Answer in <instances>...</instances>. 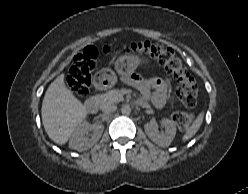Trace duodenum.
I'll return each instance as SVG.
<instances>
[{
    "instance_id": "obj_1",
    "label": "duodenum",
    "mask_w": 248,
    "mask_h": 194,
    "mask_svg": "<svg viewBox=\"0 0 248 194\" xmlns=\"http://www.w3.org/2000/svg\"><path fill=\"white\" fill-rule=\"evenodd\" d=\"M85 109L90 113H95L98 110L99 100L97 97L91 96L84 102Z\"/></svg>"
}]
</instances>
